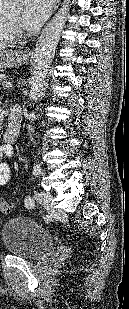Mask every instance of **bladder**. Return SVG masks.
<instances>
[{"instance_id": "obj_1", "label": "bladder", "mask_w": 129, "mask_h": 309, "mask_svg": "<svg viewBox=\"0 0 129 309\" xmlns=\"http://www.w3.org/2000/svg\"><path fill=\"white\" fill-rule=\"evenodd\" d=\"M0 234L5 249L23 258L39 256L55 245L54 237L48 230L23 217L6 221Z\"/></svg>"}]
</instances>
